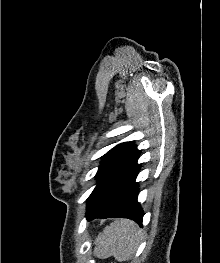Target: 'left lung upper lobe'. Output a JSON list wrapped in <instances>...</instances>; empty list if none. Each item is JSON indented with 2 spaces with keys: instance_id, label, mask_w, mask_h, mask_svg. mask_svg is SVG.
<instances>
[{
  "instance_id": "5c2ea615",
  "label": "left lung upper lobe",
  "mask_w": 220,
  "mask_h": 263,
  "mask_svg": "<svg viewBox=\"0 0 220 263\" xmlns=\"http://www.w3.org/2000/svg\"><path fill=\"white\" fill-rule=\"evenodd\" d=\"M139 150L132 142L115 146L104 155L96 174L98 183L87 199V209L97 203L137 164Z\"/></svg>"
}]
</instances>
